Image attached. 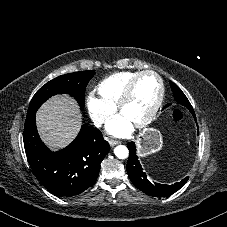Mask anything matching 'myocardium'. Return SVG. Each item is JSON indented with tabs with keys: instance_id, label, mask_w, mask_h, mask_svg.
<instances>
[{
	"instance_id": "myocardium-1",
	"label": "myocardium",
	"mask_w": 227,
	"mask_h": 227,
	"mask_svg": "<svg viewBox=\"0 0 227 227\" xmlns=\"http://www.w3.org/2000/svg\"><path fill=\"white\" fill-rule=\"evenodd\" d=\"M145 75H152L153 77H155L158 81L159 88H158L157 98H156L153 106L151 107L150 111L148 112V114L143 119L134 123V126L137 127V128H143V127L147 126L149 123H151L152 120L155 118L156 114L158 113L161 105H162L165 87H164V83H163L161 76L153 70H144V71L138 72L130 80L126 89L124 90L123 94L121 95L120 99L118 100V102L116 104V108H117L118 112L121 114L125 105L133 97L137 83L139 82L141 77H143Z\"/></svg>"
}]
</instances>
